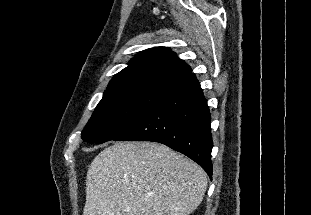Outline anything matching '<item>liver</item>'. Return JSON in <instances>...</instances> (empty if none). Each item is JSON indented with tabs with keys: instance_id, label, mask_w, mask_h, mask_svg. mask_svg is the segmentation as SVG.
Returning a JSON list of instances; mask_svg holds the SVG:
<instances>
[{
	"instance_id": "6515ba94",
	"label": "liver",
	"mask_w": 311,
	"mask_h": 215,
	"mask_svg": "<svg viewBox=\"0 0 311 215\" xmlns=\"http://www.w3.org/2000/svg\"><path fill=\"white\" fill-rule=\"evenodd\" d=\"M207 184L199 165L165 145L118 142L89 166L83 215H189Z\"/></svg>"
}]
</instances>
